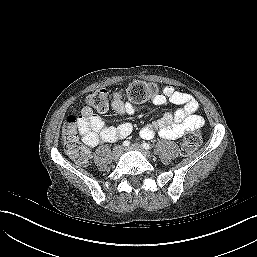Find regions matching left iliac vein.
<instances>
[{"instance_id":"4c4485c4","label":"left iliac vein","mask_w":257,"mask_h":257,"mask_svg":"<svg viewBox=\"0 0 257 257\" xmlns=\"http://www.w3.org/2000/svg\"><path fill=\"white\" fill-rule=\"evenodd\" d=\"M130 150L138 151V152L142 153L145 157H148V158L151 156L148 151L144 150L141 146L136 145V144L132 145L131 147L125 148V151H130Z\"/></svg>"}]
</instances>
